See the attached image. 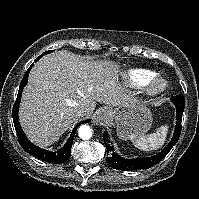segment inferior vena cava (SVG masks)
<instances>
[{"label":"inferior vena cava","mask_w":199,"mask_h":199,"mask_svg":"<svg viewBox=\"0 0 199 199\" xmlns=\"http://www.w3.org/2000/svg\"><path fill=\"white\" fill-rule=\"evenodd\" d=\"M87 111H88V109L85 106H79L77 108V112L81 116H83Z\"/></svg>","instance_id":"1"}]
</instances>
